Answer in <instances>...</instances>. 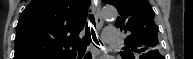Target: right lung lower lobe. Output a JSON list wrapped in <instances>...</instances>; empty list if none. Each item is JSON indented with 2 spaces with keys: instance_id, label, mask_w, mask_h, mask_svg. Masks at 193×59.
Wrapping results in <instances>:
<instances>
[{
  "instance_id": "1",
  "label": "right lung lower lobe",
  "mask_w": 193,
  "mask_h": 59,
  "mask_svg": "<svg viewBox=\"0 0 193 59\" xmlns=\"http://www.w3.org/2000/svg\"><path fill=\"white\" fill-rule=\"evenodd\" d=\"M86 59H91V54L90 53H88L87 55H86V57H85Z\"/></svg>"
}]
</instances>
